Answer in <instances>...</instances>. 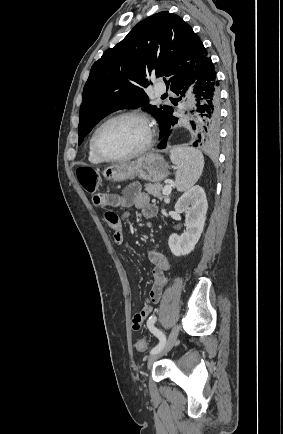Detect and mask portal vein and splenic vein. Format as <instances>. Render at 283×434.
<instances>
[{"mask_svg": "<svg viewBox=\"0 0 283 434\" xmlns=\"http://www.w3.org/2000/svg\"><path fill=\"white\" fill-rule=\"evenodd\" d=\"M171 191H172V187L170 185H166L163 188L162 193H163V195H168L171 193ZM166 202H168V200Z\"/></svg>", "mask_w": 283, "mask_h": 434, "instance_id": "obj_1", "label": "portal vein and splenic vein"}]
</instances>
